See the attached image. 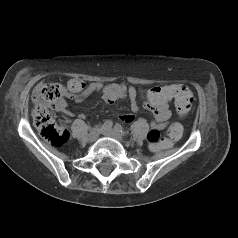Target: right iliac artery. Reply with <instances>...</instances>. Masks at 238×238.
Masks as SVG:
<instances>
[{
  "label": "right iliac artery",
  "mask_w": 238,
  "mask_h": 238,
  "mask_svg": "<svg viewBox=\"0 0 238 238\" xmlns=\"http://www.w3.org/2000/svg\"><path fill=\"white\" fill-rule=\"evenodd\" d=\"M112 125H113L112 121L107 120V121H105V123L103 124L102 127H103V129H110L112 127Z\"/></svg>",
  "instance_id": "obj_1"
}]
</instances>
